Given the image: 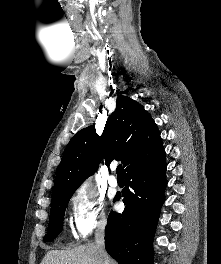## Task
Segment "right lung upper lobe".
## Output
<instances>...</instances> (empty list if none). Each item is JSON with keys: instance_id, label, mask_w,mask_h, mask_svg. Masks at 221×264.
I'll return each instance as SVG.
<instances>
[{"instance_id": "cb5924a9", "label": "right lung upper lobe", "mask_w": 221, "mask_h": 264, "mask_svg": "<svg viewBox=\"0 0 221 264\" xmlns=\"http://www.w3.org/2000/svg\"><path fill=\"white\" fill-rule=\"evenodd\" d=\"M163 152L160 132L151 115L136 101L120 95L101 136L95 126H89L68 143L57 170L52 200L74 193L97 170L102 157L107 165L114 158L120 160L126 173Z\"/></svg>"}]
</instances>
